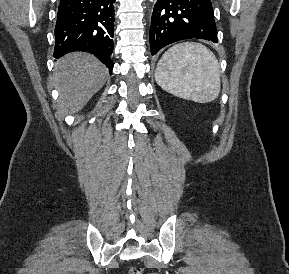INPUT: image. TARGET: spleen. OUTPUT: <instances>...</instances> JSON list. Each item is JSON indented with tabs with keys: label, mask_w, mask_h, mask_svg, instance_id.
I'll return each instance as SVG.
<instances>
[{
	"label": "spleen",
	"mask_w": 289,
	"mask_h": 274,
	"mask_svg": "<svg viewBox=\"0 0 289 274\" xmlns=\"http://www.w3.org/2000/svg\"><path fill=\"white\" fill-rule=\"evenodd\" d=\"M157 84L168 93L198 103L215 100L220 92V65L204 45L193 42L168 49L157 64Z\"/></svg>",
	"instance_id": "3e777b00"
}]
</instances>
